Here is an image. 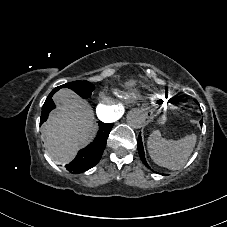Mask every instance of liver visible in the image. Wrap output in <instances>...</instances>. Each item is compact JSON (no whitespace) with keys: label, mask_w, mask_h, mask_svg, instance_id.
Here are the masks:
<instances>
[{"label":"liver","mask_w":227,"mask_h":227,"mask_svg":"<svg viewBox=\"0 0 227 227\" xmlns=\"http://www.w3.org/2000/svg\"><path fill=\"white\" fill-rule=\"evenodd\" d=\"M55 100L62 110L52 114L43 126L46 148L56 163L68 162L93 134L91 110L70 91L62 90Z\"/></svg>","instance_id":"1"}]
</instances>
